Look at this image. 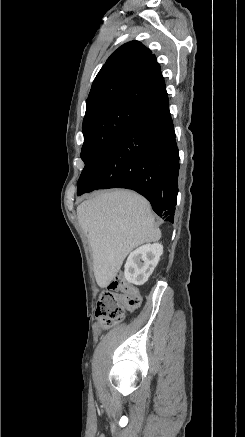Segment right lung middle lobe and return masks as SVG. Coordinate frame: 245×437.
I'll list each match as a JSON object with an SVG mask.
<instances>
[{
    "mask_svg": "<svg viewBox=\"0 0 245 437\" xmlns=\"http://www.w3.org/2000/svg\"><path fill=\"white\" fill-rule=\"evenodd\" d=\"M140 109L126 102H112L100 105L85 114L82 126L84 143L81 150V159L85 166L78 186L88 177L124 126Z\"/></svg>",
    "mask_w": 245,
    "mask_h": 437,
    "instance_id": "obj_1",
    "label": "right lung middle lobe"
}]
</instances>
